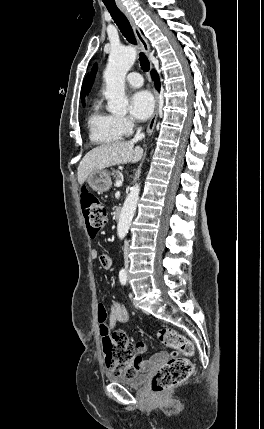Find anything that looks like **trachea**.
Instances as JSON below:
<instances>
[{
  "label": "trachea",
  "mask_w": 264,
  "mask_h": 429,
  "mask_svg": "<svg viewBox=\"0 0 264 429\" xmlns=\"http://www.w3.org/2000/svg\"><path fill=\"white\" fill-rule=\"evenodd\" d=\"M109 11L112 19L117 24L123 36L132 44H136V39L132 30V27L124 15V13L117 7L116 4H105ZM140 66L144 72H147L150 68L149 60L143 52L139 54Z\"/></svg>",
  "instance_id": "obj_1"
}]
</instances>
